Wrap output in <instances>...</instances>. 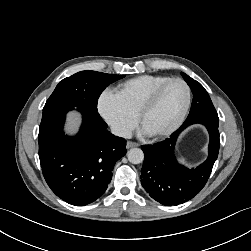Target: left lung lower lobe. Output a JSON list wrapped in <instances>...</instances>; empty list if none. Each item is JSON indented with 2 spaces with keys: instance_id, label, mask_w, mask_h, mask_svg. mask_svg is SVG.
<instances>
[{
  "instance_id": "obj_1",
  "label": "left lung lower lobe",
  "mask_w": 251,
  "mask_h": 251,
  "mask_svg": "<svg viewBox=\"0 0 251 251\" xmlns=\"http://www.w3.org/2000/svg\"><path fill=\"white\" fill-rule=\"evenodd\" d=\"M203 124L209 134V156L196 168L179 164L174 148L179 134L189 125ZM218 119L196 118L185 121L170 138L154 145H144L141 184L149 195L163 205L172 206L192 199L205 186L217 159L220 140Z\"/></svg>"
}]
</instances>
